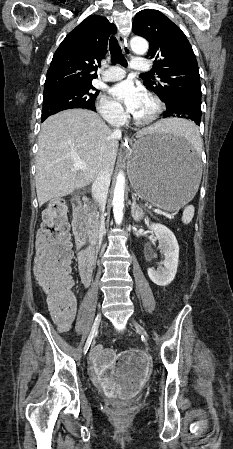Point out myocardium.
Instances as JSON below:
<instances>
[{
    "mask_svg": "<svg viewBox=\"0 0 233 449\" xmlns=\"http://www.w3.org/2000/svg\"><path fill=\"white\" fill-rule=\"evenodd\" d=\"M147 98L153 103L154 110L152 114L146 118H139L137 116H134L133 119L137 125L144 126L153 123L158 119L164 109L162 101L156 95L149 93L147 94Z\"/></svg>",
    "mask_w": 233,
    "mask_h": 449,
    "instance_id": "1",
    "label": "myocardium"
}]
</instances>
